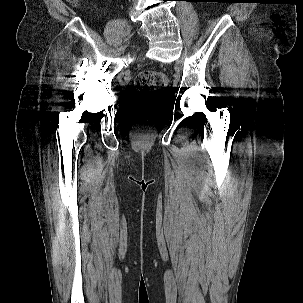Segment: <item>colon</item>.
<instances>
[{"label": "colon", "instance_id": "1", "mask_svg": "<svg viewBox=\"0 0 303 303\" xmlns=\"http://www.w3.org/2000/svg\"><path fill=\"white\" fill-rule=\"evenodd\" d=\"M77 4L78 0H68ZM168 80L165 74L154 70H144L135 78V86L139 90L133 98L134 105L139 115L144 120L160 108L166 102V94L159 91L167 86Z\"/></svg>", "mask_w": 303, "mask_h": 303}]
</instances>
